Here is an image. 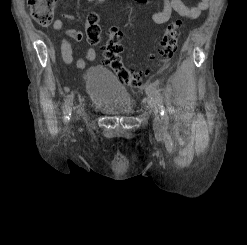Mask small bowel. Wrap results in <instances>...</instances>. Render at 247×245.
<instances>
[{
    "mask_svg": "<svg viewBox=\"0 0 247 245\" xmlns=\"http://www.w3.org/2000/svg\"><path fill=\"white\" fill-rule=\"evenodd\" d=\"M90 2H96L97 0H88ZM139 3H146L147 0H136ZM210 0H199V2L193 7H188L184 4L182 0H164V5L162 10L154 12L152 14V21L155 24H165L167 23L174 13L186 18V19H196L202 12L208 9ZM63 19L72 21L75 17L72 14H63ZM63 19H56L53 23V28L56 31L63 32L67 37L73 39L74 41L81 42L84 39V34L80 30L66 28ZM110 34L115 35L117 38H121V33L116 29L112 28ZM61 56L63 62L70 64L73 62V49L71 43L68 39H63L60 45ZM96 57L95 50L89 48L84 51L83 55L76 60V66L80 69L86 67L87 62L93 61Z\"/></svg>",
    "mask_w": 247,
    "mask_h": 245,
    "instance_id": "c3829d8e",
    "label": "small bowel"
}]
</instances>
